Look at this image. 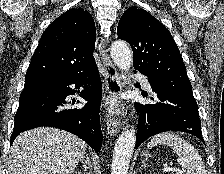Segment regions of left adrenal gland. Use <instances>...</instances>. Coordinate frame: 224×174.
I'll list each match as a JSON object with an SVG mask.
<instances>
[{"label":"left adrenal gland","mask_w":224,"mask_h":174,"mask_svg":"<svg viewBox=\"0 0 224 174\" xmlns=\"http://www.w3.org/2000/svg\"><path fill=\"white\" fill-rule=\"evenodd\" d=\"M147 165H148L147 159L142 160V165L140 169H142L143 167H146Z\"/></svg>","instance_id":"obj_1"}]
</instances>
